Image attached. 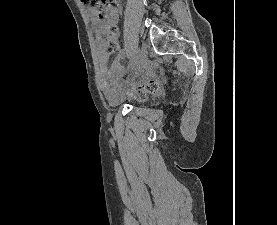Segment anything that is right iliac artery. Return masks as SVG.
<instances>
[{"label": "right iliac artery", "mask_w": 277, "mask_h": 225, "mask_svg": "<svg viewBox=\"0 0 277 225\" xmlns=\"http://www.w3.org/2000/svg\"><path fill=\"white\" fill-rule=\"evenodd\" d=\"M138 53H139L138 50H136L134 52V55H133V58H132V62H131V65H132L133 68L137 66V63H138Z\"/></svg>", "instance_id": "1"}]
</instances>
